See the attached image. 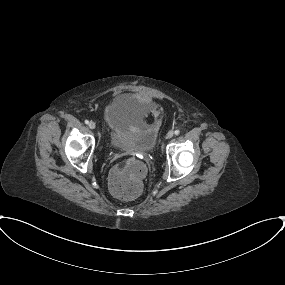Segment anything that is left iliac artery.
Instances as JSON below:
<instances>
[{
    "label": "left iliac artery",
    "instance_id": "1",
    "mask_svg": "<svg viewBox=\"0 0 285 285\" xmlns=\"http://www.w3.org/2000/svg\"><path fill=\"white\" fill-rule=\"evenodd\" d=\"M174 133H175V135H178L180 133V131L179 130H175Z\"/></svg>",
    "mask_w": 285,
    "mask_h": 285
}]
</instances>
